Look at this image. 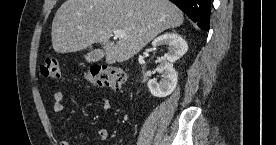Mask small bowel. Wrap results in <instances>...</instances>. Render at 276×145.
Instances as JSON below:
<instances>
[{"label": "small bowel", "instance_id": "c3829d8e", "mask_svg": "<svg viewBox=\"0 0 276 145\" xmlns=\"http://www.w3.org/2000/svg\"><path fill=\"white\" fill-rule=\"evenodd\" d=\"M54 104L53 110L55 114H60L64 109V94L61 91H57L53 95ZM101 107L104 110H108L111 107L110 101L106 97H101ZM97 137L101 140H107L110 138V132L105 129L101 128L97 131ZM60 145H70L68 141L63 140L60 142Z\"/></svg>", "mask_w": 276, "mask_h": 145}]
</instances>
